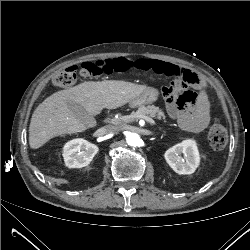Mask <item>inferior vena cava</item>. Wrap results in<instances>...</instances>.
<instances>
[{
	"label": "inferior vena cava",
	"instance_id": "obj_1",
	"mask_svg": "<svg viewBox=\"0 0 250 250\" xmlns=\"http://www.w3.org/2000/svg\"><path fill=\"white\" fill-rule=\"evenodd\" d=\"M104 131L106 133H116L119 131V128L117 126H113V125H106L104 127Z\"/></svg>",
	"mask_w": 250,
	"mask_h": 250
}]
</instances>
